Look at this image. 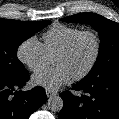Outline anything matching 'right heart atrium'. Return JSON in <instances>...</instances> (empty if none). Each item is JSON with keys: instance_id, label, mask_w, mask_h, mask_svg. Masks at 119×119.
Segmentation results:
<instances>
[{"instance_id": "right-heart-atrium-1", "label": "right heart atrium", "mask_w": 119, "mask_h": 119, "mask_svg": "<svg viewBox=\"0 0 119 119\" xmlns=\"http://www.w3.org/2000/svg\"><path fill=\"white\" fill-rule=\"evenodd\" d=\"M17 57L33 72L43 69L50 61L43 43L36 37L27 38L18 46Z\"/></svg>"}]
</instances>
